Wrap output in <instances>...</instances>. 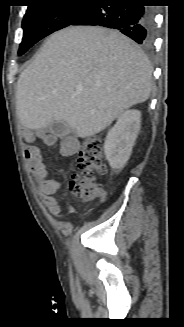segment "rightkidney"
<instances>
[{"mask_svg":"<svg viewBox=\"0 0 184 327\" xmlns=\"http://www.w3.org/2000/svg\"><path fill=\"white\" fill-rule=\"evenodd\" d=\"M140 123L141 112L127 110L118 117L116 124L108 132L104 152L111 168H121L129 160L140 130Z\"/></svg>","mask_w":184,"mask_h":327,"instance_id":"1","label":"right kidney"}]
</instances>
